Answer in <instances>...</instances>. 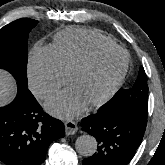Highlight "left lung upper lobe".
Here are the masks:
<instances>
[{"label":"left lung upper lobe","instance_id":"obj_1","mask_svg":"<svg viewBox=\"0 0 165 165\" xmlns=\"http://www.w3.org/2000/svg\"><path fill=\"white\" fill-rule=\"evenodd\" d=\"M99 113H132L147 116L148 85L143 66L138 78L130 89H120Z\"/></svg>","mask_w":165,"mask_h":165}]
</instances>
